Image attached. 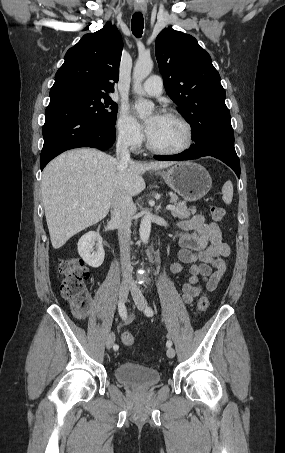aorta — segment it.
<instances>
[{"mask_svg": "<svg viewBox=\"0 0 285 453\" xmlns=\"http://www.w3.org/2000/svg\"><path fill=\"white\" fill-rule=\"evenodd\" d=\"M153 68V61L150 57L139 56L134 69L133 80L134 89L139 93L142 81L151 73ZM135 109L139 117L145 118L150 115L154 110V103L143 99L141 96L137 98ZM151 232V215L149 211L145 212L141 220L139 235L143 243H148Z\"/></svg>", "mask_w": 285, "mask_h": 453, "instance_id": "762f6f07", "label": "aorta"}]
</instances>
